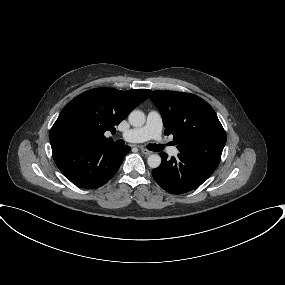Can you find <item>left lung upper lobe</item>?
I'll return each instance as SVG.
<instances>
[{
  "instance_id": "left-lung-upper-lobe-1",
  "label": "left lung upper lobe",
  "mask_w": 285,
  "mask_h": 285,
  "mask_svg": "<svg viewBox=\"0 0 285 285\" xmlns=\"http://www.w3.org/2000/svg\"><path fill=\"white\" fill-rule=\"evenodd\" d=\"M165 135H173L180 153L219 164L226 133L212 107L202 98L183 92L153 91Z\"/></svg>"
}]
</instances>
